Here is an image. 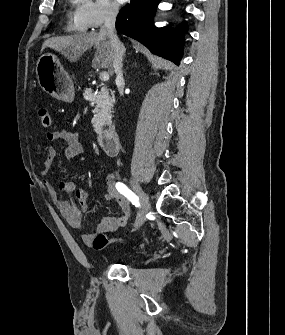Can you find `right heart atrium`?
<instances>
[{
    "mask_svg": "<svg viewBox=\"0 0 285 335\" xmlns=\"http://www.w3.org/2000/svg\"><path fill=\"white\" fill-rule=\"evenodd\" d=\"M121 11L116 1H88L85 5L84 23L91 29L113 22Z\"/></svg>",
    "mask_w": 285,
    "mask_h": 335,
    "instance_id": "right-heart-atrium-1",
    "label": "right heart atrium"
}]
</instances>
